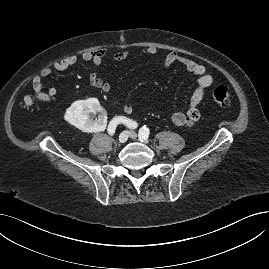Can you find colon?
I'll return each instance as SVG.
<instances>
[{
    "label": "colon",
    "instance_id": "5ec220e1",
    "mask_svg": "<svg viewBox=\"0 0 269 269\" xmlns=\"http://www.w3.org/2000/svg\"><path fill=\"white\" fill-rule=\"evenodd\" d=\"M233 93L232 91L226 87V86H219L217 87L213 93H212V99L215 103L223 106L230 105L233 101ZM37 99V100H42L43 95L42 94H36L32 98L29 99V101Z\"/></svg>",
    "mask_w": 269,
    "mask_h": 269
}]
</instances>
